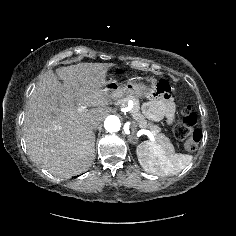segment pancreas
<instances>
[{
    "mask_svg": "<svg viewBox=\"0 0 236 236\" xmlns=\"http://www.w3.org/2000/svg\"><path fill=\"white\" fill-rule=\"evenodd\" d=\"M122 103L123 105H126L127 98H123ZM130 112L133 118L137 121L140 128H148L153 132L155 141L158 145H160L167 152H174L173 145L170 143L169 139L164 134L160 133L161 129L159 128V126L153 125L151 122H148L140 113L138 102L134 103V106Z\"/></svg>",
    "mask_w": 236,
    "mask_h": 236,
    "instance_id": "cf45deb5",
    "label": "pancreas"
}]
</instances>
